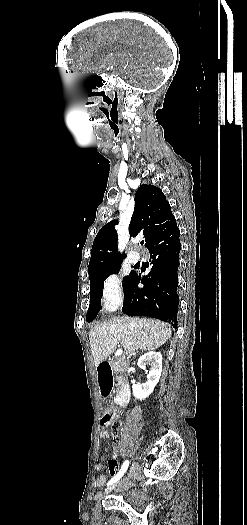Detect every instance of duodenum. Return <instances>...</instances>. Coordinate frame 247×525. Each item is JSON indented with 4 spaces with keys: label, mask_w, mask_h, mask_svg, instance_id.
Returning a JSON list of instances; mask_svg holds the SVG:
<instances>
[{
    "label": "duodenum",
    "mask_w": 247,
    "mask_h": 525,
    "mask_svg": "<svg viewBox=\"0 0 247 525\" xmlns=\"http://www.w3.org/2000/svg\"><path fill=\"white\" fill-rule=\"evenodd\" d=\"M98 385L102 396H109L113 387L112 363L102 361L96 369ZM130 399V388L127 382H123L115 397V404L119 408L126 406Z\"/></svg>",
    "instance_id": "duodenum-1"
}]
</instances>
